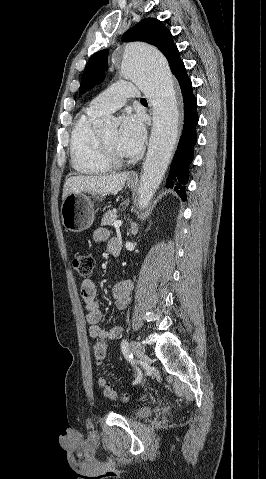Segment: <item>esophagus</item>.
Instances as JSON below:
<instances>
[{
    "mask_svg": "<svg viewBox=\"0 0 266 479\" xmlns=\"http://www.w3.org/2000/svg\"><path fill=\"white\" fill-rule=\"evenodd\" d=\"M130 178H131V179H137L138 176H137L136 173H131V174H130Z\"/></svg>",
    "mask_w": 266,
    "mask_h": 479,
    "instance_id": "esophagus-1",
    "label": "esophagus"
}]
</instances>
